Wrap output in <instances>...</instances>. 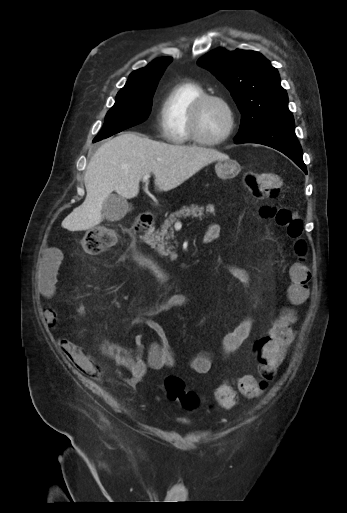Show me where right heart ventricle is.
<instances>
[{"mask_svg": "<svg viewBox=\"0 0 347 513\" xmlns=\"http://www.w3.org/2000/svg\"><path fill=\"white\" fill-rule=\"evenodd\" d=\"M205 93L202 86L191 80H181L166 92L160 108V130L167 141L177 145L192 142L188 131L189 110Z\"/></svg>", "mask_w": 347, "mask_h": 513, "instance_id": "e07e8e85", "label": "right heart ventricle"}]
</instances>
